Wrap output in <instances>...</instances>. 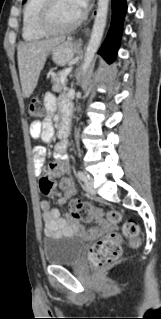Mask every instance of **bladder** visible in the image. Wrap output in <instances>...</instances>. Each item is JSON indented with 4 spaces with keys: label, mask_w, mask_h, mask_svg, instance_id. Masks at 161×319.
Segmentation results:
<instances>
[{
    "label": "bladder",
    "mask_w": 161,
    "mask_h": 319,
    "mask_svg": "<svg viewBox=\"0 0 161 319\" xmlns=\"http://www.w3.org/2000/svg\"><path fill=\"white\" fill-rule=\"evenodd\" d=\"M85 242L78 235L46 236L43 239L44 262L47 265H74L80 261Z\"/></svg>",
    "instance_id": "31cf9c89"
}]
</instances>
